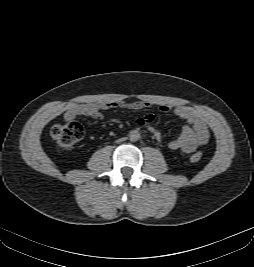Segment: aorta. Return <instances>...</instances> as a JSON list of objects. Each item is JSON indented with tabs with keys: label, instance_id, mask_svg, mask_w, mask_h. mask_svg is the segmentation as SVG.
I'll return each mask as SVG.
<instances>
[{
	"label": "aorta",
	"instance_id": "1",
	"mask_svg": "<svg viewBox=\"0 0 254 267\" xmlns=\"http://www.w3.org/2000/svg\"><path fill=\"white\" fill-rule=\"evenodd\" d=\"M129 138L133 142L138 141L140 139V133H139V131H137V130L130 131Z\"/></svg>",
	"mask_w": 254,
	"mask_h": 267
}]
</instances>
